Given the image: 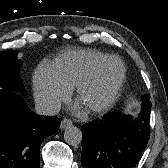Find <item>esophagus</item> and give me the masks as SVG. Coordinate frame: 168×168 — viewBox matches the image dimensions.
Returning <instances> with one entry per match:
<instances>
[{"label":"esophagus","mask_w":168,"mask_h":168,"mask_svg":"<svg viewBox=\"0 0 168 168\" xmlns=\"http://www.w3.org/2000/svg\"><path fill=\"white\" fill-rule=\"evenodd\" d=\"M72 125V121L70 119L64 118L60 123V129L63 130Z\"/></svg>","instance_id":"obj_1"}]
</instances>
